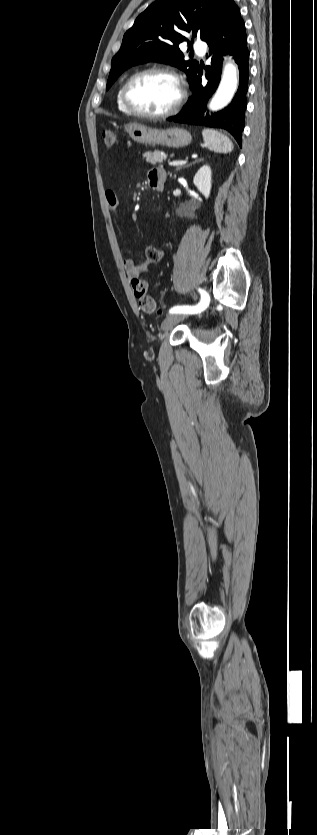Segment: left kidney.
<instances>
[{"label": "left kidney", "mask_w": 317, "mask_h": 835, "mask_svg": "<svg viewBox=\"0 0 317 835\" xmlns=\"http://www.w3.org/2000/svg\"><path fill=\"white\" fill-rule=\"evenodd\" d=\"M193 183L204 195V197L208 199L212 187V172L210 166L203 165L195 174Z\"/></svg>", "instance_id": "5707ae66"}]
</instances>
